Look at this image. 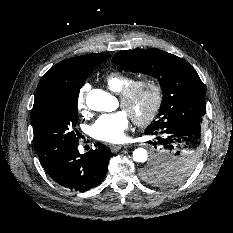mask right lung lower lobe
Wrapping results in <instances>:
<instances>
[{
    "instance_id": "obj_1",
    "label": "right lung lower lobe",
    "mask_w": 233,
    "mask_h": 233,
    "mask_svg": "<svg viewBox=\"0 0 233 233\" xmlns=\"http://www.w3.org/2000/svg\"><path fill=\"white\" fill-rule=\"evenodd\" d=\"M77 147L78 143L57 154L39 159L56 183L71 190L84 192L103 181L113 153L103 144H96L95 150L82 155Z\"/></svg>"
}]
</instances>
